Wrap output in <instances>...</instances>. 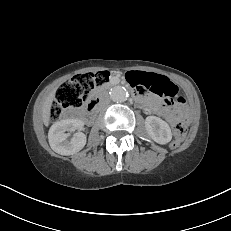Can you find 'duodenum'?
<instances>
[{"instance_id":"obj_1","label":"duodenum","mask_w":231,"mask_h":231,"mask_svg":"<svg viewBox=\"0 0 231 231\" xmlns=\"http://www.w3.org/2000/svg\"><path fill=\"white\" fill-rule=\"evenodd\" d=\"M107 92L106 89L102 90L96 97H94L87 105V114L91 115L93 113V111L96 109V107L99 105V103L102 100V97L104 96V94ZM136 94V93H135ZM136 97L138 99H141V97L136 94Z\"/></svg>"}]
</instances>
